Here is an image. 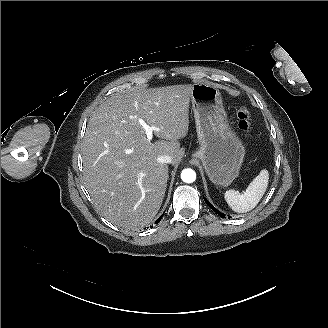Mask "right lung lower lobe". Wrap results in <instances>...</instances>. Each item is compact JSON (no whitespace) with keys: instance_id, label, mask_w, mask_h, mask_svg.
I'll use <instances>...</instances> for the list:
<instances>
[{"instance_id":"1","label":"right lung lower lobe","mask_w":328,"mask_h":328,"mask_svg":"<svg viewBox=\"0 0 328 328\" xmlns=\"http://www.w3.org/2000/svg\"><path fill=\"white\" fill-rule=\"evenodd\" d=\"M162 216L155 222L156 224L159 223V221L161 220Z\"/></svg>"}]
</instances>
